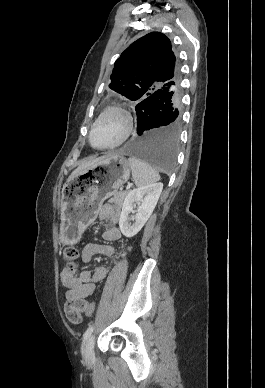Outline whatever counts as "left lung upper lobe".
Masks as SVG:
<instances>
[{
  "label": "left lung upper lobe",
  "mask_w": 265,
  "mask_h": 388,
  "mask_svg": "<svg viewBox=\"0 0 265 388\" xmlns=\"http://www.w3.org/2000/svg\"><path fill=\"white\" fill-rule=\"evenodd\" d=\"M179 78L170 40L160 32H151L132 43L116 60L109 87L138 105Z\"/></svg>",
  "instance_id": "left-lung-upper-lobe-1"
}]
</instances>
